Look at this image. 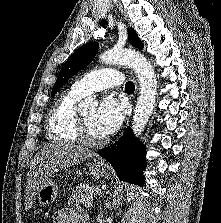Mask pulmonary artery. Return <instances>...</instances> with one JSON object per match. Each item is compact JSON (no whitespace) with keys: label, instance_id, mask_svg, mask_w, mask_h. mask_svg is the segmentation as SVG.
Instances as JSON below:
<instances>
[{"label":"pulmonary artery","instance_id":"e3ab8cb5","mask_svg":"<svg viewBox=\"0 0 221 223\" xmlns=\"http://www.w3.org/2000/svg\"><path fill=\"white\" fill-rule=\"evenodd\" d=\"M124 81V74L115 68H105L91 71L84 77L76 80L72 86L76 94L85 96L112 86L121 85Z\"/></svg>","mask_w":221,"mask_h":223}]
</instances>
